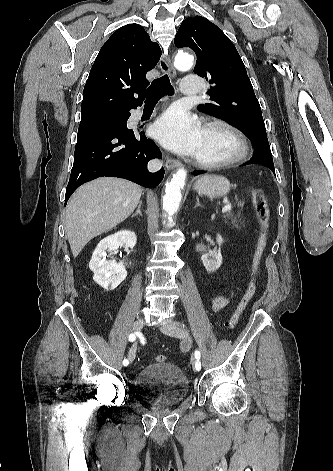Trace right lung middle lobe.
I'll return each instance as SVG.
<instances>
[{
  "label": "right lung middle lobe",
  "mask_w": 333,
  "mask_h": 471,
  "mask_svg": "<svg viewBox=\"0 0 333 471\" xmlns=\"http://www.w3.org/2000/svg\"><path fill=\"white\" fill-rule=\"evenodd\" d=\"M97 119V118H96ZM95 119H92V120H88V121H81L80 123H85V122H89V121H93Z\"/></svg>",
  "instance_id": "dd1d6c3e"
}]
</instances>
